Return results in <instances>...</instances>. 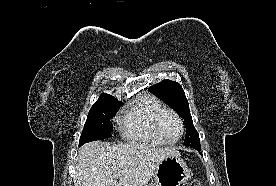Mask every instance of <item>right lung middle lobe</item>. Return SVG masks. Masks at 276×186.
Here are the masks:
<instances>
[{
  "instance_id": "right-lung-middle-lobe-1",
  "label": "right lung middle lobe",
  "mask_w": 276,
  "mask_h": 186,
  "mask_svg": "<svg viewBox=\"0 0 276 186\" xmlns=\"http://www.w3.org/2000/svg\"><path fill=\"white\" fill-rule=\"evenodd\" d=\"M122 105L111 95L101 94L98 101L91 107L83 131L81 133L79 145L90 141L102 140L111 137L110 132L113 125L110 119L115 115Z\"/></svg>"
}]
</instances>
